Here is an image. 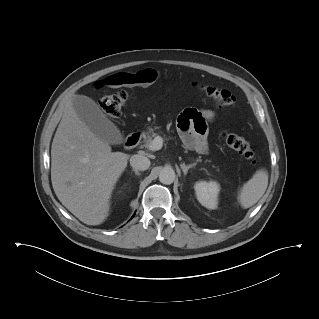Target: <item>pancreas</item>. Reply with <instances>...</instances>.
<instances>
[{
    "label": "pancreas",
    "mask_w": 319,
    "mask_h": 319,
    "mask_svg": "<svg viewBox=\"0 0 319 319\" xmlns=\"http://www.w3.org/2000/svg\"><path fill=\"white\" fill-rule=\"evenodd\" d=\"M153 128H148V130L143 134V147L149 148L153 138L157 136Z\"/></svg>",
    "instance_id": "pancreas-1"
}]
</instances>
